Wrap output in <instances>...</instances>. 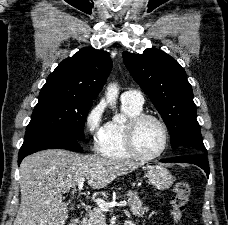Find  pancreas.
Instances as JSON below:
<instances>
[{
  "label": "pancreas",
  "mask_w": 228,
  "mask_h": 225,
  "mask_svg": "<svg viewBox=\"0 0 228 225\" xmlns=\"http://www.w3.org/2000/svg\"><path fill=\"white\" fill-rule=\"evenodd\" d=\"M126 197L130 211H132V215H135V217H143V215L149 211L148 207H143V203H141L137 193L128 191ZM104 217V211L96 207L93 211H88V215L83 219V225H106Z\"/></svg>",
  "instance_id": "obj_1"
}]
</instances>
